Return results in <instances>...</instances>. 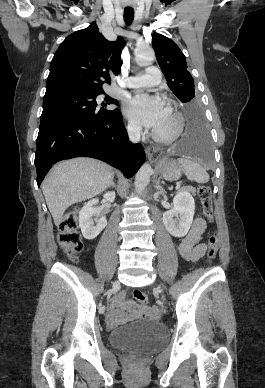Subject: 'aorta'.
Here are the masks:
<instances>
[{
    "label": "aorta",
    "instance_id": "aorta-1",
    "mask_svg": "<svg viewBox=\"0 0 265 388\" xmlns=\"http://www.w3.org/2000/svg\"><path fill=\"white\" fill-rule=\"evenodd\" d=\"M154 58L153 50H143L137 54V62L139 65H149ZM152 168L149 163H144L139 169L135 178V187L137 192H142L150 182Z\"/></svg>",
    "mask_w": 265,
    "mask_h": 388
}]
</instances>
